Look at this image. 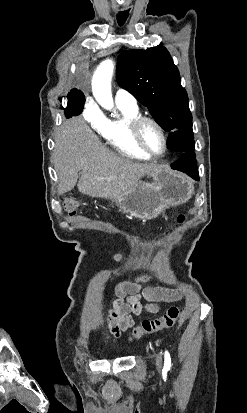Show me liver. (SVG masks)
<instances>
[{
    "mask_svg": "<svg viewBox=\"0 0 247 413\" xmlns=\"http://www.w3.org/2000/svg\"><path fill=\"white\" fill-rule=\"evenodd\" d=\"M54 166L58 176V194L74 188L78 170V190L89 196L118 198L149 174L157 164L138 162L117 154L99 140L80 116L65 120L56 132Z\"/></svg>",
    "mask_w": 247,
    "mask_h": 413,
    "instance_id": "1",
    "label": "liver"
}]
</instances>
